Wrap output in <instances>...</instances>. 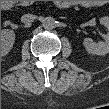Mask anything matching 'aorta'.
<instances>
[{
	"label": "aorta",
	"instance_id": "762f6f07",
	"mask_svg": "<svg viewBox=\"0 0 109 109\" xmlns=\"http://www.w3.org/2000/svg\"><path fill=\"white\" fill-rule=\"evenodd\" d=\"M42 26L46 30H51L55 28L56 20L51 16H47L42 20Z\"/></svg>",
	"mask_w": 109,
	"mask_h": 109
}]
</instances>
